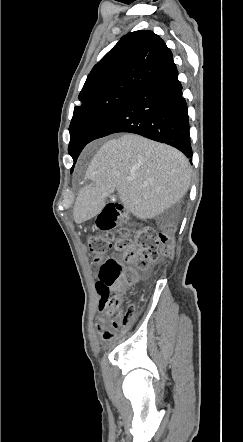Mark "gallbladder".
I'll return each mask as SVG.
<instances>
[{
  "label": "gallbladder",
  "mask_w": 243,
  "mask_h": 442,
  "mask_svg": "<svg viewBox=\"0 0 243 442\" xmlns=\"http://www.w3.org/2000/svg\"><path fill=\"white\" fill-rule=\"evenodd\" d=\"M110 199H118V200H120V195H119V193H109V194L107 195V202H108ZM107 204H108V203H107Z\"/></svg>",
  "instance_id": "obj_1"
}]
</instances>
